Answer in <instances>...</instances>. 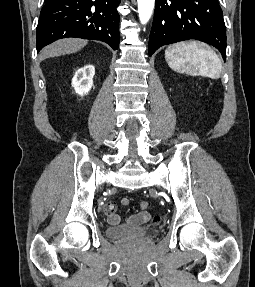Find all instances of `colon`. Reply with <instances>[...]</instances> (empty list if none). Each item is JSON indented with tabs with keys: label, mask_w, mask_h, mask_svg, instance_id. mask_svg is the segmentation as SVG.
<instances>
[{
	"label": "colon",
	"mask_w": 255,
	"mask_h": 287,
	"mask_svg": "<svg viewBox=\"0 0 255 287\" xmlns=\"http://www.w3.org/2000/svg\"><path fill=\"white\" fill-rule=\"evenodd\" d=\"M140 207L143 209V210H146L148 207H149V203L147 201H141L140 202Z\"/></svg>",
	"instance_id": "1"
}]
</instances>
